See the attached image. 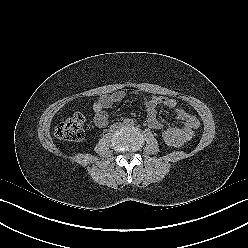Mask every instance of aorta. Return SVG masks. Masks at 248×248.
<instances>
[{"label": "aorta", "instance_id": "1", "mask_svg": "<svg viewBox=\"0 0 248 248\" xmlns=\"http://www.w3.org/2000/svg\"><path fill=\"white\" fill-rule=\"evenodd\" d=\"M126 124L131 125L132 124L131 120H128Z\"/></svg>", "mask_w": 248, "mask_h": 248}]
</instances>
